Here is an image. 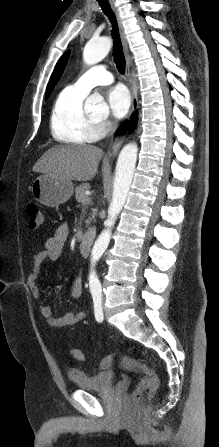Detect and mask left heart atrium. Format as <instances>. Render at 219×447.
Listing matches in <instances>:
<instances>
[{"label":"left heart atrium","mask_w":219,"mask_h":447,"mask_svg":"<svg viewBox=\"0 0 219 447\" xmlns=\"http://www.w3.org/2000/svg\"><path fill=\"white\" fill-rule=\"evenodd\" d=\"M110 112L115 118L124 117L130 110L131 97L128 90L123 86L111 89L107 96Z\"/></svg>","instance_id":"1"}]
</instances>
